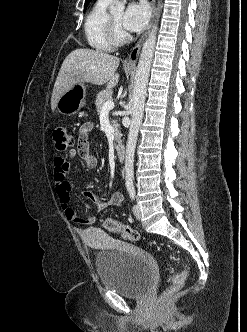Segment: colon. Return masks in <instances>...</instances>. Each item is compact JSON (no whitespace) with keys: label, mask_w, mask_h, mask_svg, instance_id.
<instances>
[{"label":"colon","mask_w":247,"mask_h":332,"mask_svg":"<svg viewBox=\"0 0 247 332\" xmlns=\"http://www.w3.org/2000/svg\"><path fill=\"white\" fill-rule=\"evenodd\" d=\"M53 142L57 151L64 152L73 146V137L68 130L63 126H58L53 130ZM102 227L111 233H116L125 239L136 241L139 239V233L137 230L131 228L128 225L119 223L112 218H106L102 221ZM174 263H179V259L174 258ZM188 276V270L184 267L181 271L174 273L171 278V285L162 292L160 295V302H167L172 298L185 284Z\"/></svg>","instance_id":"obj_1"}]
</instances>
